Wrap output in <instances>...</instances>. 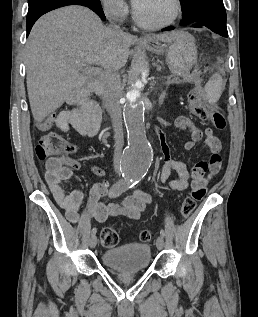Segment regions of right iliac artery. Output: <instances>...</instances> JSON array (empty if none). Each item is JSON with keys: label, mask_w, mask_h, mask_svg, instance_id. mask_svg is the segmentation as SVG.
<instances>
[{"label": "right iliac artery", "mask_w": 258, "mask_h": 317, "mask_svg": "<svg viewBox=\"0 0 258 317\" xmlns=\"http://www.w3.org/2000/svg\"><path fill=\"white\" fill-rule=\"evenodd\" d=\"M134 185L132 183L131 178H124L120 179L117 182H115L112 187L109 190V197L110 198H115L120 196L123 192L129 190L132 188ZM97 229L93 228L91 231V234L94 235L96 234Z\"/></svg>", "instance_id": "right-iliac-artery-1"}]
</instances>
